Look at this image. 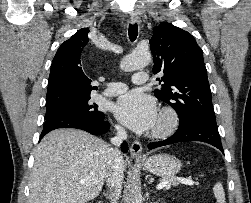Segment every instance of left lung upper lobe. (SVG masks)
<instances>
[{
	"instance_id": "1",
	"label": "left lung upper lobe",
	"mask_w": 251,
	"mask_h": 203,
	"mask_svg": "<svg viewBox=\"0 0 251 203\" xmlns=\"http://www.w3.org/2000/svg\"><path fill=\"white\" fill-rule=\"evenodd\" d=\"M153 73L162 72L163 82L155 96L174 108L179 126L195 120L216 124L203 52L194 37L170 23L162 22L150 39Z\"/></svg>"
}]
</instances>
